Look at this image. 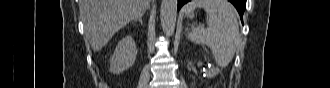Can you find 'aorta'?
I'll return each mask as SVG.
<instances>
[{
	"label": "aorta",
	"mask_w": 330,
	"mask_h": 88,
	"mask_svg": "<svg viewBox=\"0 0 330 88\" xmlns=\"http://www.w3.org/2000/svg\"><path fill=\"white\" fill-rule=\"evenodd\" d=\"M177 16V0H162L160 18L163 32L167 36L174 33Z\"/></svg>",
	"instance_id": "obj_1"
}]
</instances>
